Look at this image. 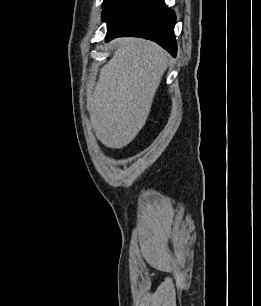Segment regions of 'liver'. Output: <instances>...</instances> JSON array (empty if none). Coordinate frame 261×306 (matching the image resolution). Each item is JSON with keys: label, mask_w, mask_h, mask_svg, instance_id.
Segmentation results:
<instances>
[{"label": "liver", "mask_w": 261, "mask_h": 306, "mask_svg": "<svg viewBox=\"0 0 261 306\" xmlns=\"http://www.w3.org/2000/svg\"><path fill=\"white\" fill-rule=\"evenodd\" d=\"M89 99L90 120L106 147L127 146L143 128L167 69L168 53L154 42L119 38Z\"/></svg>", "instance_id": "6515ba94"}]
</instances>
